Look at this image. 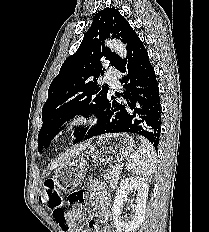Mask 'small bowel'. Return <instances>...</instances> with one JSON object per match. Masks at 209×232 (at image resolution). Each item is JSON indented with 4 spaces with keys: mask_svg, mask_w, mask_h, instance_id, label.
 <instances>
[{
    "mask_svg": "<svg viewBox=\"0 0 209 232\" xmlns=\"http://www.w3.org/2000/svg\"><path fill=\"white\" fill-rule=\"evenodd\" d=\"M87 190H89V185H76V190H70V194L68 195L70 203L73 206L84 205L87 199ZM88 197L95 201L100 217L99 222L105 224L101 227L93 221H90V225L93 226L92 232H117L113 225L107 224L112 219L111 198L99 181H94L91 184ZM81 217V209L78 207L73 208L65 213L66 227H60L64 232H90L89 229H79L77 226V222Z\"/></svg>",
    "mask_w": 209,
    "mask_h": 232,
    "instance_id": "obj_1",
    "label": "small bowel"
}]
</instances>
